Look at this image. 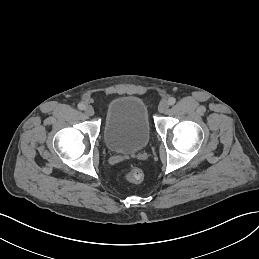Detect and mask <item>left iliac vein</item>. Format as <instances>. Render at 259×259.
Instances as JSON below:
<instances>
[{
  "instance_id": "1",
  "label": "left iliac vein",
  "mask_w": 259,
  "mask_h": 259,
  "mask_svg": "<svg viewBox=\"0 0 259 259\" xmlns=\"http://www.w3.org/2000/svg\"><path fill=\"white\" fill-rule=\"evenodd\" d=\"M168 103L167 102H161L158 106V111L160 113H166L168 111Z\"/></svg>"
}]
</instances>
